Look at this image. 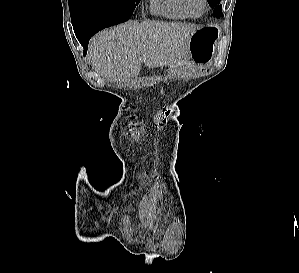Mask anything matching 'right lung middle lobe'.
Wrapping results in <instances>:
<instances>
[{
	"instance_id": "obj_1",
	"label": "right lung middle lobe",
	"mask_w": 299,
	"mask_h": 273,
	"mask_svg": "<svg viewBox=\"0 0 299 273\" xmlns=\"http://www.w3.org/2000/svg\"><path fill=\"white\" fill-rule=\"evenodd\" d=\"M140 0H69L72 22L104 14L133 12Z\"/></svg>"
}]
</instances>
